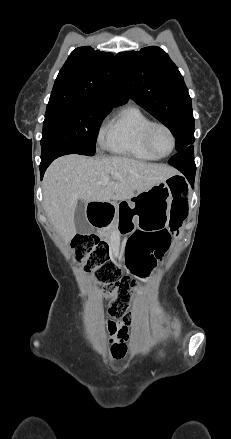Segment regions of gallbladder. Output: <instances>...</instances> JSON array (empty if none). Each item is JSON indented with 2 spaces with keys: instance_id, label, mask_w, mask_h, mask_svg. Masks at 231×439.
Returning <instances> with one entry per match:
<instances>
[{
  "instance_id": "1",
  "label": "gallbladder",
  "mask_w": 231,
  "mask_h": 439,
  "mask_svg": "<svg viewBox=\"0 0 231 439\" xmlns=\"http://www.w3.org/2000/svg\"><path fill=\"white\" fill-rule=\"evenodd\" d=\"M85 203L80 201L75 209L74 213V223L76 231L80 234H88L93 231L92 227L89 225L86 215H85Z\"/></svg>"
}]
</instances>
